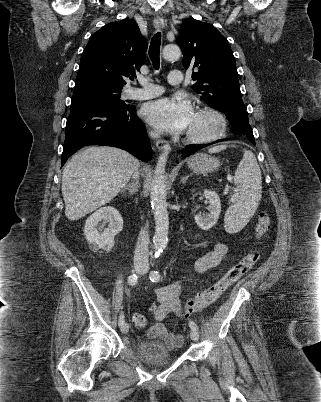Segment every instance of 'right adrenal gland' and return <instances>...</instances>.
Instances as JSON below:
<instances>
[{"instance_id":"right-adrenal-gland-1","label":"right adrenal gland","mask_w":321,"mask_h":402,"mask_svg":"<svg viewBox=\"0 0 321 402\" xmlns=\"http://www.w3.org/2000/svg\"><path fill=\"white\" fill-rule=\"evenodd\" d=\"M139 188V183L136 181H133L131 183H129L127 186H125L124 188H122L121 192H125L126 190L133 195L134 193H136L138 191Z\"/></svg>"}]
</instances>
